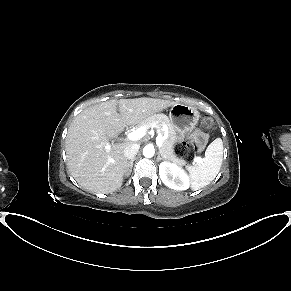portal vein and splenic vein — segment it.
<instances>
[{"label":"portal vein and splenic vein","mask_w":291,"mask_h":291,"mask_svg":"<svg viewBox=\"0 0 291 291\" xmlns=\"http://www.w3.org/2000/svg\"><path fill=\"white\" fill-rule=\"evenodd\" d=\"M147 129H148V126H142L136 130H133L132 132L127 134V139L129 141H138L146 135ZM167 138H168V134L162 135L161 130L159 129V127H157V137H156L157 146L162 147L163 141L166 140ZM106 148L108 149L109 146H106ZM201 161L202 159L198 156L194 158V162L201 163Z\"/></svg>","instance_id":"obj_1"}]
</instances>
